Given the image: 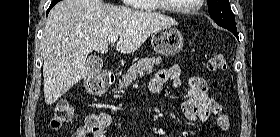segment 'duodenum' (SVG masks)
Returning <instances> with one entry per match:
<instances>
[{"label": "duodenum", "instance_id": "obj_1", "mask_svg": "<svg viewBox=\"0 0 280 137\" xmlns=\"http://www.w3.org/2000/svg\"><path fill=\"white\" fill-rule=\"evenodd\" d=\"M116 80H117L116 75L113 72H109L106 75L105 84L107 86H112L113 84H115Z\"/></svg>", "mask_w": 280, "mask_h": 137}]
</instances>
